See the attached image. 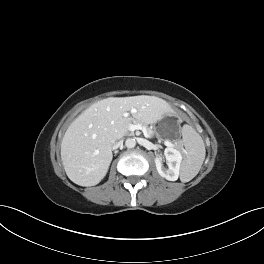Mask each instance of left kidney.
Listing matches in <instances>:
<instances>
[{"mask_svg": "<svg viewBox=\"0 0 264 264\" xmlns=\"http://www.w3.org/2000/svg\"><path fill=\"white\" fill-rule=\"evenodd\" d=\"M164 155L168 162V168L163 167L162 161L156 157L155 164L157 171L161 177H164L169 181H176L180 174L182 154L177 149L167 147L164 151Z\"/></svg>", "mask_w": 264, "mask_h": 264, "instance_id": "5707ae66", "label": "left kidney"}]
</instances>
